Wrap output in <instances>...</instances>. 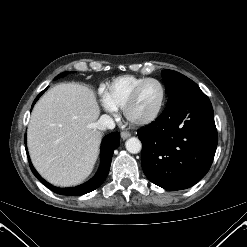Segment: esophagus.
<instances>
[{
	"mask_svg": "<svg viewBox=\"0 0 247 247\" xmlns=\"http://www.w3.org/2000/svg\"><path fill=\"white\" fill-rule=\"evenodd\" d=\"M131 136V134L129 132H121V138L123 140L129 138Z\"/></svg>",
	"mask_w": 247,
	"mask_h": 247,
	"instance_id": "esophagus-1",
	"label": "esophagus"
}]
</instances>
